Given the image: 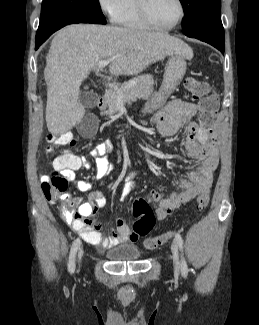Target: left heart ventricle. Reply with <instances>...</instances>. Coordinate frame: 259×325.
I'll list each match as a JSON object with an SVG mask.
<instances>
[{
  "label": "left heart ventricle",
  "instance_id": "1",
  "mask_svg": "<svg viewBox=\"0 0 259 325\" xmlns=\"http://www.w3.org/2000/svg\"><path fill=\"white\" fill-rule=\"evenodd\" d=\"M147 8L152 21L159 26L173 24L179 15L176 0H147Z\"/></svg>",
  "mask_w": 259,
  "mask_h": 325
}]
</instances>
